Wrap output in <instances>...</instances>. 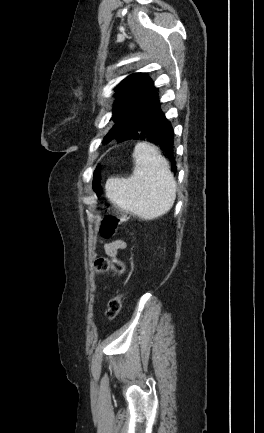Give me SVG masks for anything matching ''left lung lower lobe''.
I'll return each instance as SVG.
<instances>
[{"label": "left lung lower lobe", "instance_id": "0a47b994", "mask_svg": "<svg viewBox=\"0 0 264 433\" xmlns=\"http://www.w3.org/2000/svg\"><path fill=\"white\" fill-rule=\"evenodd\" d=\"M157 91L152 84L128 109L120 123L127 129L128 139L146 140L158 145L175 173L173 128L161 110Z\"/></svg>", "mask_w": 264, "mask_h": 433}]
</instances>
